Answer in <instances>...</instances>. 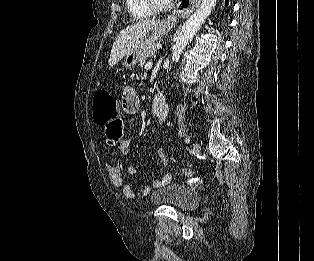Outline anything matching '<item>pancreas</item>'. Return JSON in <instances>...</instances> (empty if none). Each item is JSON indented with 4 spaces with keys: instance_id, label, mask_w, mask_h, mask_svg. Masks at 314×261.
I'll list each match as a JSON object with an SVG mask.
<instances>
[{
    "instance_id": "cf45deb5",
    "label": "pancreas",
    "mask_w": 314,
    "mask_h": 261,
    "mask_svg": "<svg viewBox=\"0 0 314 261\" xmlns=\"http://www.w3.org/2000/svg\"><path fill=\"white\" fill-rule=\"evenodd\" d=\"M157 52L156 46L153 45L147 51L143 53V55L139 58L138 66L142 69L148 59H152L155 57Z\"/></svg>"
}]
</instances>
